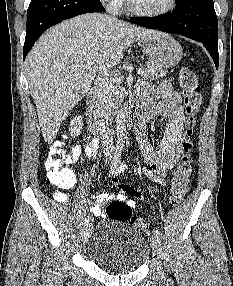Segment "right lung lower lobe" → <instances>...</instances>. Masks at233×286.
I'll list each match as a JSON object with an SVG mask.
<instances>
[{"label":"right lung lower lobe","instance_id":"obj_1","mask_svg":"<svg viewBox=\"0 0 233 286\" xmlns=\"http://www.w3.org/2000/svg\"><path fill=\"white\" fill-rule=\"evenodd\" d=\"M105 11L100 0H31L27 11L23 59L49 27L74 16Z\"/></svg>","mask_w":233,"mask_h":286}]
</instances>
